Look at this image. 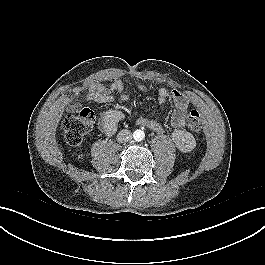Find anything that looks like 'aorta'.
I'll return each instance as SVG.
<instances>
[{
	"label": "aorta",
	"instance_id": "aorta-1",
	"mask_svg": "<svg viewBox=\"0 0 265 265\" xmlns=\"http://www.w3.org/2000/svg\"><path fill=\"white\" fill-rule=\"evenodd\" d=\"M145 137V134L142 130H136L134 133H133V138L135 141H142Z\"/></svg>",
	"mask_w": 265,
	"mask_h": 265
}]
</instances>
